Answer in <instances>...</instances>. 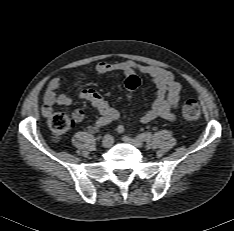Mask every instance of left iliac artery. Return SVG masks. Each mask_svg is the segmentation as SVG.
<instances>
[{
    "mask_svg": "<svg viewBox=\"0 0 234 231\" xmlns=\"http://www.w3.org/2000/svg\"><path fill=\"white\" fill-rule=\"evenodd\" d=\"M117 131L119 133H123L125 131L124 126L119 125L117 128ZM137 139L141 140V141H150V139L152 138V133L151 132H145V133H141L139 135L136 136Z\"/></svg>",
    "mask_w": 234,
    "mask_h": 231,
    "instance_id": "44dca946",
    "label": "left iliac artery"
}]
</instances>
